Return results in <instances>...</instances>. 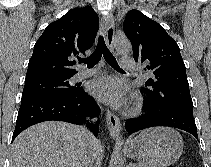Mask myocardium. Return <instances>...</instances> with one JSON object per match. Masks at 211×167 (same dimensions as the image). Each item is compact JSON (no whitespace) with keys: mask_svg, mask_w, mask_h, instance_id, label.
<instances>
[{"mask_svg":"<svg viewBox=\"0 0 211 167\" xmlns=\"http://www.w3.org/2000/svg\"><path fill=\"white\" fill-rule=\"evenodd\" d=\"M142 109V101L140 99H137L130 111V114H137Z\"/></svg>","mask_w":211,"mask_h":167,"instance_id":"obj_1","label":"myocardium"}]
</instances>
